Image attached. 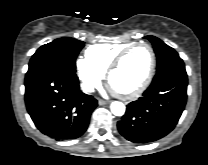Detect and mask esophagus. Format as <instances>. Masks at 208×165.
Segmentation results:
<instances>
[{
  "mask_svg": "<svg viewBox=\"0 0 208 165\" xmlns=\"http://www.w3.org/2000/svg\"><path fill=\"white\" fill-rule=\"evenodd\" d=\"M98 103H99V105L102 106V105L108 104L109 102L108 101H105V100H102V99H99Z\"/></svg>",
  "mask_w": 208,
  "mask_h": 165,
  "instance_id": "34e87169",
  "label": "esophagus"
}]
</instances>
